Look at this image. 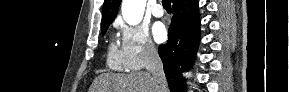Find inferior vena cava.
<instances>
[{
  "instance_id": "obj_1",
  "label": "inferior vena cava",
  "mask_w": 289,
  "mask_h": 92,
  "mask_svg": "<svg viewBox=\"0 0 289 92\" xmlns=\"http://www.w3.org/2000/svg\"><path fill=\"white\" fill-rule=\"evenodd\" d=\"M146 54V69L152 75V78L156 83V88L160 92L166 91L167 83L163 70V63L152 44L146 46Z\"/></svg>"
}]
</instances>
